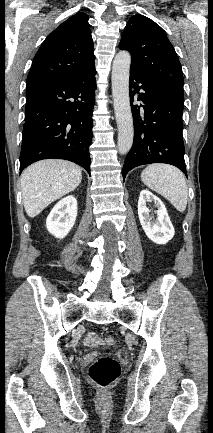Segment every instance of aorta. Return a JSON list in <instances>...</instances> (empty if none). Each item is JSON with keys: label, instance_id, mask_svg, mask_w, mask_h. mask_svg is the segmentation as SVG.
<instances>
[{"label": "aorta", "instance_id": "1", "mask_svg": "<svg viewBox=\"0 0 213 433\" xmlns=\"http://www.w3.org/2000/svg\"><path fill=\"white\" fill-rule=\"evenodd\" d=\"M131 55L128 51L116 54L112 65V96L118 127L117 147L120 154L129 152L133 145L134 127L129 97Z\"/></svg>", "mask_w": 213, "mask_h": 433}]
</instances>
